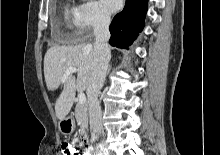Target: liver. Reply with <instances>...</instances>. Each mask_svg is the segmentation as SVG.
Segmentation results:
<instances>
[{"label":"liver","mask_w":220,"mask_h":155,"mask_svg":"<svg viewBox=\"0 0 220 155\" xmlns=\"http://www.w3.org/2000/svg\"><path fill=\"white\" fill-rule=\"evenodd\" d=\"M93 60V46L79 44L75 46H52L44 57V76L47 88L57 89L62 83L64 88L55 102V114L59 120L70 112L76 91L88 88ZM70 67L77 68V78L69 76L65 82L61 79Z\"/></svg>","instance_id":"1"}]
</instances>
